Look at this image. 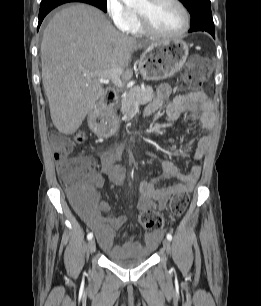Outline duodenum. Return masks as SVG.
<instances>
[{"label":"duodenum","mask_w":261,"mask_h":306,"mask_svg":"<svg viewBox=\"0 0 261 306\" xmlns=\"http://www.w3.org/2000/svg\"><path fill=\"white\" fill-rule=\"evenodd\" d=\"M117 101V92L114 88H107L105 96L101 100V109H109Z\"/></svg>","instance_id":"410a0bca"}]
</instances>
